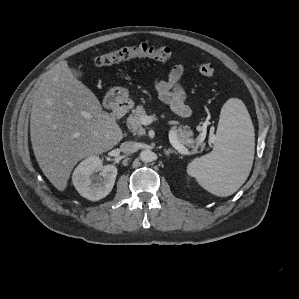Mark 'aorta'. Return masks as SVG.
Returning a JSON list of instances; mask_svg holds the SVG:
<instances>
[{"mask_svg":"<svg viewBox=\"0 0 299 299\" xmlns=\"http://www.w3.org/2000/svg\"><path fill=\"white\" fill-rule=\"evenodd\" d=\"M140 159L145 163L152 162L155 160V153L151 150H143L140 153Z\"/></svg>","mask_w":299,"mask_h":299,"instance_id":"obj_1","label":"aorta"}]
</instances>
